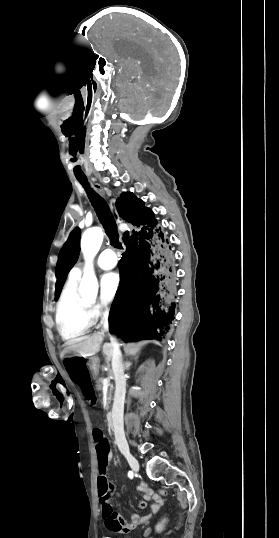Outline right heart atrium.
<instances>
[{
    "label": "right heart atrium",
    "instance_id": "right-heart-atrium-1",
    "mask_svg": "<svg viewBox=\"0 0 279 538\" xmlns=\"http://www.w3.org/2000/svg\"><path fill=\"white\" fill-rule=\"evenodd\" d=\"M94 313L96 317L106 318L111 314V307L106 302H96L94 305Z\"/></svg>",
    "mask_w": 279,
    "mask_h": 538
}]
</instances>
